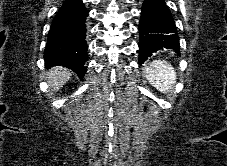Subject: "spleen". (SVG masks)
Listing matches in <instances>:
<instances>
[{
	"label": "spleen",
	"mask_w": 227,
	"mask_h": 166,
	"mask_svg": "<svg viewBox=\"0 0 227 166\" xmlns=\"http://www.w3.org/2000/svg\"><path fill=\"white\" fill-rule=\"evenodd\" d=\"M143 71L150 84L162 93L170 91L176 82V72L166 61L154 60Z\"/></svg>",
	"instance_id": "obj_1"
}]
</instances>
